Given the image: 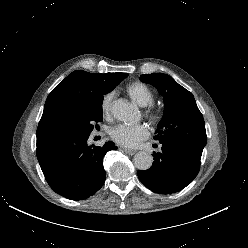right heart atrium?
<instances>
[{"label":"right heart atrium","instance_id":"1","mask_svg":"<svg viewBox=\"0 0 248 248\" xmlns=\"http://www.w3.org/2000/svg\"><path fill=\"white\" fill-rule=\"evenodd\" d=\"M112 103H113V93H108L103 96L100 103V110L102 116L105 119H110L111 117Z\"/></svg>","mask_w":248,"mask_h":248}]
</instances>
